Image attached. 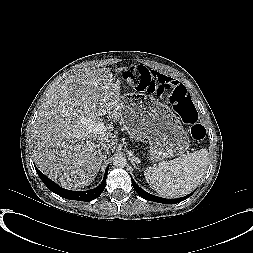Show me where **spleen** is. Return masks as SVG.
<instances>
[{
	"instance_id": "1",
	"label": "spleen",
	"mask_w": 253,
	"mask_h": 253,
	"mask_svg": "<svg viewBox=\"0 0 253 253\" xmlns=\"http://www.w3.org/2000/svg\"><path fill=\"white\" fill-rule=\"evenodd\" d=\"M208 164V150L200 149L147 167L144 176L159 195L176 198L187 195L200 184Z\"/></svg>"
}]
</instances>
